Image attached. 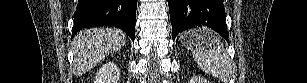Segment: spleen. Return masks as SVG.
Wrapping results in <instances>:
<instances>
[{
	"mask_svg": "<svg viewBox=\"0 0 307 83\" xmlns=\"http://www.w3.org/2000/svg\"><path fill=\"white\" fill-rule=\"evenodd\" d=\"M192 56L197 65L208 74L228 81L231 75L230 58L219 36L211 30H191Z\"/></svg>",
	"mask_w": 307,
	"mask_h": 83,
	"instance_id": "spleen-1",
	"label": "spleen"
}]
</instances>
